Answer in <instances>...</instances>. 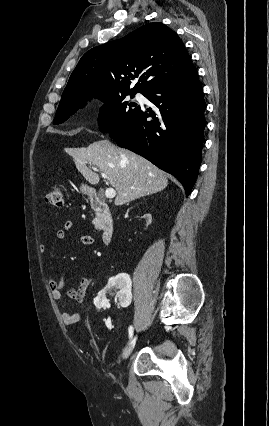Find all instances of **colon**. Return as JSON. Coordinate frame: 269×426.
Returning <instances> with one entry per match:
<instances>
[{
  "instance_id": "colon-1",
  "label": "colon",
  "mask_w": 269,
  "mask_h": 426,
  "mask_svg": "<svg viewBox=\"0 0 269 426\" xmlns=\"http://www.w3.org/2000/svg\"><path fill=\"white\" fill-rule=\"evenodd\" d=\"M47 203L56 208L64 206V188L60 184L53 185L47 195Z\"/></svg>"
}]
</instances>
